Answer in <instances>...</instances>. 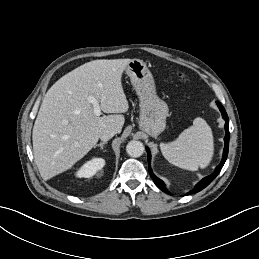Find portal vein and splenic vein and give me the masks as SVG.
<instances>
[{"label": "portal vein and splenic vein", "instance_id": "obj_1", "mask_svg": "<svg viewBox=\"0 0 259 259\" xmlns=\"http://www.w3.org/2000/svg\"><path fill=\"white\" fill-rule=\"evenodd\" d=\"M87 100L93 105L94 114L96 116H100L101 115V107H100L99 100H97L92 95L88 96Z\"/></svg>", "mask_w": 259, "mask_h": 259}]
</instances>
